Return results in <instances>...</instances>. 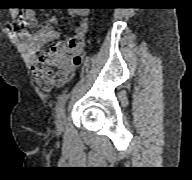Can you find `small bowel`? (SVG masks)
I'll use <instances>...</instances> for the list:
<instances>
[{"label":"small bowel","mask_w":192,"mask_h":180,"mask_svg":"<svg viewBox=\"0 0 192 180\" xmlns=\"http://www.w3.org/2000/svg\"><path fill=\"white\" fill-rule=\"evenodd\" d=\"M20 20L26 25L36 23L32 11H19ZM72 16H78L79 21L73 37L55 43L48 51L39 54L38 62L33 68L36 82L46 91L66 84L73 71L81 64L84 57L85 38L89 31L88 11L86 9H72ZM57 18H52L49 25L35 33L21 32L32 52H38L42 46L59 38L52 24ZM52 68H56L55 71Z\"/></svg>","instance_id":"small-bowel-1"}]
</instances>
